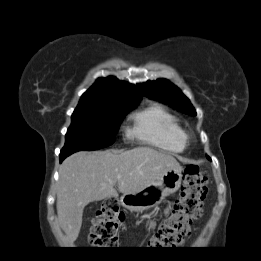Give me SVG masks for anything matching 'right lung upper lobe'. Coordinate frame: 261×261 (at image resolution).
<instances>
[{
	"label": "right lung upper lobe",
	"mask_w": 261,
	"mask_h": 261,
	"mask_svg": "<svg viewBox=\"0 0 261 261\" xmlns=\"http://www.w3.org/2000/svg\"><path fill=\"white\" fill-rule=\"evenodd\" d=\"M143 92L140 86L119 81L116 77L99 78L85 92L81 100L96 98H115L124 100H141Z\"/></svg>",
	"instance_id": "right-lung-upper-lobe-1"
}]
</instances>
